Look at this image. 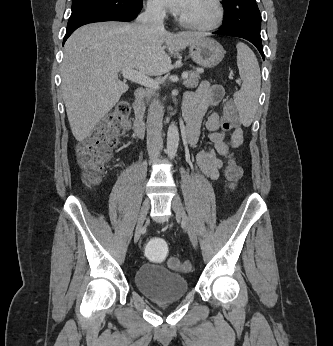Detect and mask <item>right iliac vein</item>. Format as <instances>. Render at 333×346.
I'll return each mask as SVG.
<instances>
[{
	"label": "right iliac vein",
	"instance_id": "obj_1",
	"mask_svg": "<svg viewBox=\"0 0 333 346\" xmlns=\"http://www.w3.org/2000/svg\"><path fill=\"white\" fill-rule=\"evenodd\" d=\"M149 207H150V201H149V199H145L143 204H142V207H141V210L139 213V217H138V221H137V225H136L135 240H137L140 237L143 224L146 220V217H147V214L149 211Z\"/></svg>",
	"mask_w": 333,
	"mask_h": 346
}]
</instances>
